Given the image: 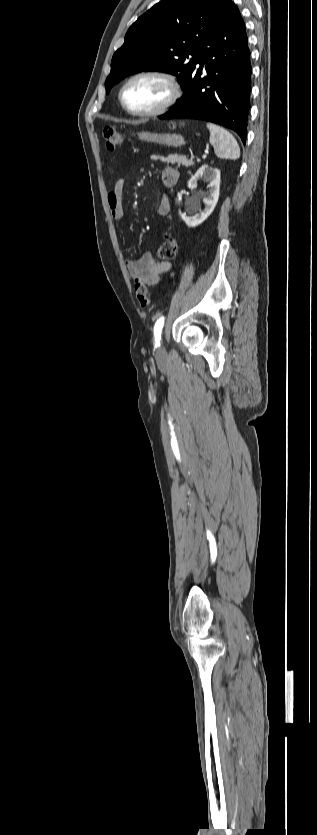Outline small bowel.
<instances>
[{"mask_svg": "<svg viewBox=\"0 0 317 835\" xmlns=\"http://www.w3.org/2000/svg\"><path fill=\"white\" fill-rule=\"evenodd\" d=\"M161 181L164 186L172 187L179 180V172L171 165H166L160 173ZM123 189L124 182L119 179L115 182L114 187L109 191L107 196L108 207L111 215L117 220L121 221L124 216L123 212ZM170 209L169 197L164 194L159 202L157 212L159 215H165ZM127 271L135 283H141L146 287L156 285L162 274L172 269L173 264L169 261H156L151 253H145L137 259H130L125 262Z\"/></svg>", "mask_w": 317, "mask_h": 835, "instance_id": "1", "label": "small bowel"}]
</instances>
